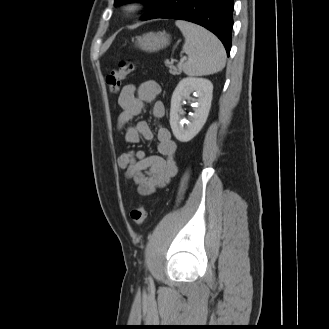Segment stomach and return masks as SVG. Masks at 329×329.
<instances>
[{"mask_svg": "<svg viewBox=\"0 0 329 329\" xmlns=\"http://www.w3.org/2000/svg\"><path fill=\"white\" fill-rule=\"evenodd\" d=\"M170 43V36L165 32L158 33H147L143 36L137 37L136 45L144 50L149 52L158 51L165 48Z\"/></svg>", "mask_w": 329, "mask_h": 329, "instance_id": "1", "label": "stomach"}]
</instances>
